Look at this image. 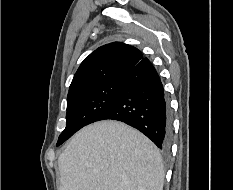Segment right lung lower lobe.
<instances>
[{
    "label": "right lung lower lobe",
    "mask_w": 234,
    "mask_h": 190,
    "mask_svg": "<svg viewBox=\"0 0 234 190\" xmlns=\"http://www.w3.org/2000/svg\"><path fill=\"white\" fill-rule=\"evenodd\" d=\"M122 121L145 134L161 150L170 147L172 121L164 88L147 58L123 78L112 106L98 119Z\"/></svg>",
    "instance_id": "obj_1"
}]
</instances>
